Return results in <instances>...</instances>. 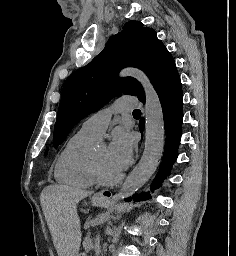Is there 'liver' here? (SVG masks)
I'll return each mask as SVG.
<instances>
[{"instance_id": "liver-1", "label": "liver", "mask_w": 236, "mask_h": 256, "mask_svg": "<svg viewBox=\"0 0 236 256\" xmlns=\"http://www.w3.org/2000/svg\"><path fill=\"white\" fill-rule=\"evenodd\" d=\"M91 192L70 186H47L41 206L59 256H77L81 244L77 204Z\"/></svg>"}]
</instances>
